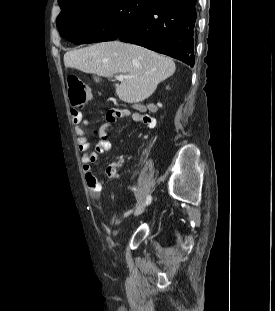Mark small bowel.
Masks as SVG:
<instances>
[{"instance_id": "small-bowel-1", "label": "small bowel", "mask_w": 275, "mask_h": 311, "mask_svg": "<svg viewBox=\"0 0 275 311\" xmlns=\"http://www.w3.org/2000/svg\"><path fill=\"white\" fill-rule=\"evenodd\" d=\"M113 114L114 116L112 118H106L107 121L103 125L102 132L100 134V140L95 145V147L91 149L86 139V121L83 119V116L79 110L74 109L72 111V118L75 122V134L80 152V161L82 164L85 183L88 190L93 194H97L101 191L103 180L95 175L91 167V163L96 161L101 154L108 152L111 149V143L109 141L110 130L118 121V119L129 117L130 111L127 109H117L113 111ZM132 119L135 122L143 123L149 129H152L156 126V120L154 117L142 114L140 112H134L132 114ZM122 162L123 159L119 157L115 161L108 164L106 167L107 174L109 176L116 177L118 168Z\"/></svg>"}]
</instances>
